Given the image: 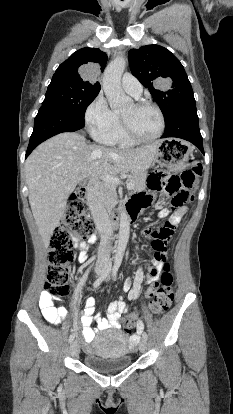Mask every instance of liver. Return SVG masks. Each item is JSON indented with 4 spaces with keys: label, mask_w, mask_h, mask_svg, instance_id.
<instances>
[{
    "label": "liver",
    "mask_w": 233,
    "mask_h": 414,
    "mask_svg": "<svg viewBox=\"0 0 233 414\" xmlns=\"http://www.w3.org/2000/svg\"><path fill=\"white\" fill-rule=\"evenodd\" d=\"M157 142L139 148L110 149L88 144L76 132L60 133L40 144L25 163L29 203L45 247L63 217L67 199L86 178L147 170Z\"/></svg>",
    "instance_id": "liver-1"
}]
</instances>
